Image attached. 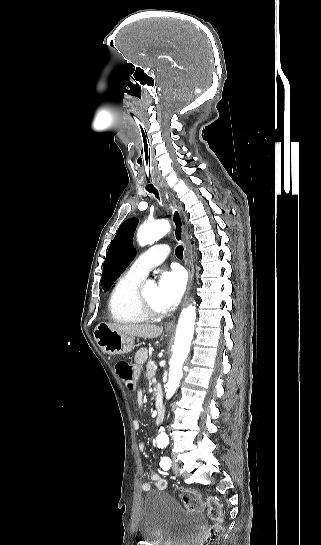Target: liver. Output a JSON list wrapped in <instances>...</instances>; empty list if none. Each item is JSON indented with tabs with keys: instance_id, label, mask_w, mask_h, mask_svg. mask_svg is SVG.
<instances>
[{
	"instance_id": "6515ba94",
	"label": "liver",
	"mask_w": 321,
	"mask_h": 545,
	"mask_svg": "<svg viewBox=\"0 0 321 545\" xmlns=\"http://www.w3.org/2000/svg\"><path fill=\"white\" fill-rule=\"evenodd\" d=\"M110 329H115L120 335L128 337H141V339H156L162 335V327L158 325H136V323H125V325H116V323H107Z\"/></svg>"
}]
</instances>
